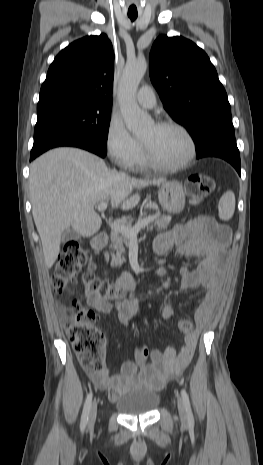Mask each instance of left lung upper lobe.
I'll list each match as a JSON object with an SVG mask.
<instances>
[{"label":"left lung upper lobe","instance_id":"left-lung-upper-lobe-1","mask_svg":"<svg viewBox=\"0 0 263 465\" xmlns=\"http://www.w3.org/2000/svg\"><path fill=\"white\" fill-rule=\"evenodd\" d=\"M150 78L163 106L201 149L214 135L234 134L226 91L207 54L183 37L159 36L150 53Z\"/></svg>","mask_w":263,"mask_h":465}]
</instances>
